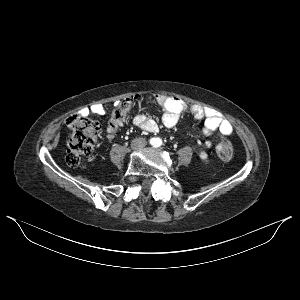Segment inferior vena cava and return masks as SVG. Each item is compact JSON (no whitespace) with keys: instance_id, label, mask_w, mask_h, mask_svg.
Wrapping results in <instances>:
<instances>
[{"instance_id":"inferior-vena-cava-1","label":"inferior vena cava","mask_w":300,"mask_h":300,"mask_svg":"<svg viewBox=\"0 0 300 300\" xmlns=\"http://www.w3.org/2000/svg\"><path fill=\"white\" fill-rule=\"evenodd\" d=\"M133 145L145 146L146 145V140L144 138H137L133 141Z\"/></svg>"}]
</instances>
